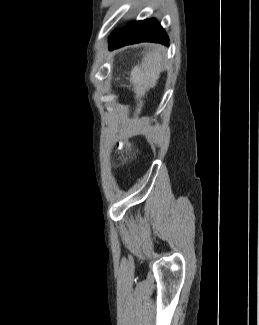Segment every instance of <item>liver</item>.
Returning <instances> with one entry per match:
<instances>
[{
	"label": "liver",
	"mask_w": 259,
	"mask_h": 325,
	"mask_svg": "<svg viewBox=\"0 0 259 325\" xmlns=\"http://www.w3.org/2000/svg\"><path fill=\"white\" fill-rule=\"evenodd\" d=\"M162 47L157 45L152 52L147 53L140 65L132 68L130 73V81L133 84V90L136 94L135 98L139 100L137 104L136 114H140L143 106L142 98L153 88L160 77L163 68Z\"/></svg>",
	"instance_id": "obj_1"
}]
</instances>
